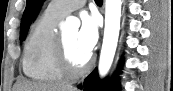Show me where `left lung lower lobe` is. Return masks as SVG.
Wrapping results in <instances>:
<instances>
[{"label": "left lung lower lobe", "instance_id": "0a47b994", "mask_svg": "<svg viewBox=\"0 0 173 91\" xmlns=\"http://www.w3.org/2000/svg\"><path fill=\"white\" fill-rule=\"evenodd\" d=\"M84 91H117L118 82L114 80L112 82L103 81L100 82L98 78L97 70L95 69L85 80H84Z\"/></svg>", "mask_w": 173, "mask_h": 91}]
</instances>
